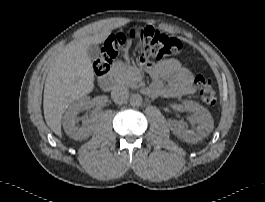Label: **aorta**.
I'll list each match as a JSON object with an SVG mask.
<instances>
[{"instance_id": "aorta-1", "label": "aorta", "mask_w": 265, "mask_h": 202, "mask_svg": "<svg viewBox=\"0 0 265 202\" xmlns=\"http://www.w3.org/2000/svg\"><path fill=\"white\" fill-rule=\"evenodd\" d=\"M143 98L140 94H132L130 97V105L133 107H139L142 105Z\"/></svg>"}]
</instances>
